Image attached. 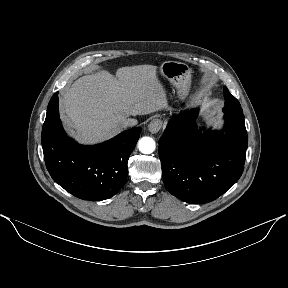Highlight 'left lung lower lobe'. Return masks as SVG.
Listing matches in <instances>:
<instances>
[{"instance_id": "obj_1", "label": "left lung lower lobe", "mask_w": 288, "mask_h": 288, "mask_svg": "<svg viewBox=\"0 0 288 288\" xmlns=\"http://www.w3.org/2000/svg\"><path fill=\"white\" fill-rule=\"evenodd\" d=\"M196 115L185 112L169 122L158 152L168 191L187 203L201 204L215 200L240 178L248 135L244 118L228 113L224 132L201 133Z\"/></svg>"}]
</instances>
